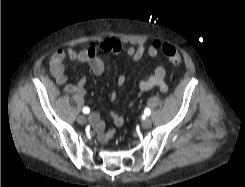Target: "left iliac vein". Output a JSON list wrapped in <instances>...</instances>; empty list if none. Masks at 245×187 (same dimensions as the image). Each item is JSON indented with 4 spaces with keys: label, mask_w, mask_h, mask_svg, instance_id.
<instances>
[{
    "label": "left iliac vein",
    "mask_w": 245,
    "mask_h": 187,
    "mask_svg": "<svg viewBox=\"0 0 245 187\" xmlns=\"http://www.w3.org/2000/svg\"><path fill=\"white\" fill-rule=\"evenodd\" d=\"M152 125V121L150 118H146L142 121L143 128H149Z\"/></svg>",
    "instance_id": "left-iliac-vein-1"
}]
</instances>
